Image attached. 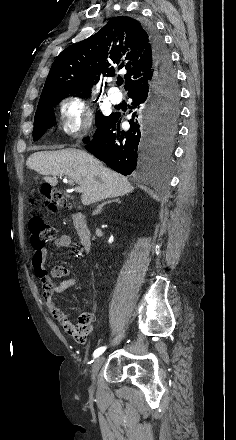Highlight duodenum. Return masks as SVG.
I'll list each match as a JSON object with an SVG mask.
<instances>
[{
	"instance_id": "duodenum-1",
	"label": "duodenum",
	"mask_w": 236,
	"mask_h": 440,
	"mask_svg": "<svg viewBox=\"0 0 236 440\" xmlns=\"http://www.w3.org/2000/svg\"><path fill=\"white\" fill-rule=\"evenodd\" d=\"M72 221L81 245L86 252H89L92 248V237L84 214L81 212L73 213Z\"/></svg>"
}]
</instances>
